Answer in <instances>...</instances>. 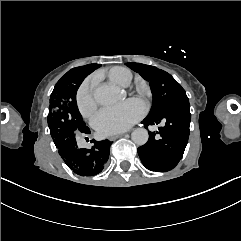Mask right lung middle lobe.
<instances>
[{"label": "right lung middle lobe", "instance_id": "obj_1", "mask_svg": "<svg viewBox=\"0 0 241 241\" xmlns=\"http://www.w3.org/2000/svg\"><path fill=\"white\" fill-rule=\"evenodd\" d=\"M100 64H88L68 71L55 85L50 96L48 126L51 137L59 145L76 141V135L89 131L82 120L76 103L77 90L85 78L86 69L90 72Z\"/></svg>", "mask_w": 241, "mask_h": 241}]
</instances>
